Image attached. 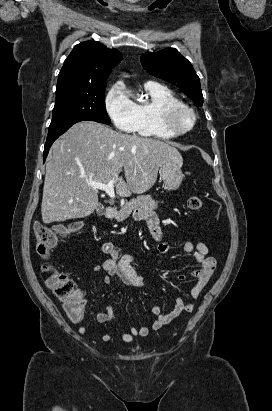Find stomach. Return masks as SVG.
<instances>
[{
	"label": "stomach",
	"mask_w": 272,
	"mask_h": 411,
	"mask_svg": "<svg viewBox=\"0 0 272 411\" xmlns=\"http://www.w3.org/2000/svg\"><path fill=\"white\" fill-rule=\"evenodd\" d=\"M159 174L168 190L178 189L183 179L181 166L173 161L161 163Z\"/></svg>",
	"instance_id": "stomach-1"
}]
</instances>
